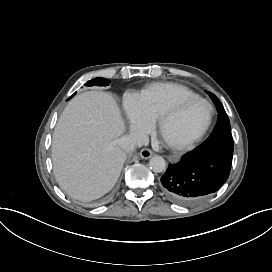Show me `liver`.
Masks as SVG:
<instances>
[{
  "instance_id": "1",
  "label": "liver",
  "mask_w": 272,
  "mask_h": 272,
  "mask_svg": "<svg viewBox=\"0 0 272 272\" xmlns=\"http://www.w3.org/2000/svg\"><path fill=\"white\" fill-rule=\"evenodd\" d=\"M124 120L110 93L87 91L64 108L53 133V172L72 198L90 202L108 193L126 160L116 139Z\"/></svg>"
}]
</instances>
